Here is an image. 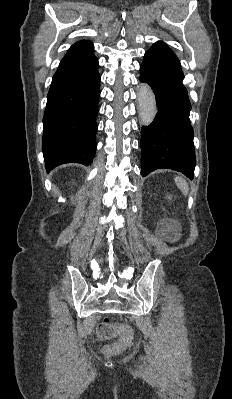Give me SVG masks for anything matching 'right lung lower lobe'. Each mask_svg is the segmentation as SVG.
Segmentation results:
<instances>
[{"label":"right lung lower lobe","instance_id":"98d812e1","mask_svg":"<svg viewBox=\"0 0 232 399\" xmlns=\"http://www.w3.org/2000/svg\"><path fill=\"white\" fill-rule=\"evenodd\" d=\"M97 67L93 51L67 53L53 76L43 118L47 171L64 163H92L100 96Z\"/></svg>","mask_w":232,"mask_h":399}]
</instances>
